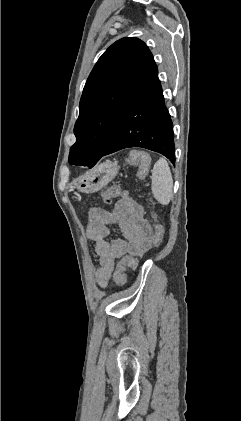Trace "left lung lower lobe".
<instances>
[{"mask_svg": "<svg viewBox=\"0 0 241 421\" xmlns=\"http://www.w3.org/2000/svg\"><path fill=\"white\" fill-rule=\"evenodd\" d=\"M142 147L166 156L175 163L172 121L164 104V96L153 57L149 60L120 120L116 133L102 155L121 149ZM87 162L79 166L93 167Z\"/></svg>", "mask_w": 241, "mask_h": 421, "instance_id": "0a47b994", "label": "left lung lower lobe"}]
</instances>
